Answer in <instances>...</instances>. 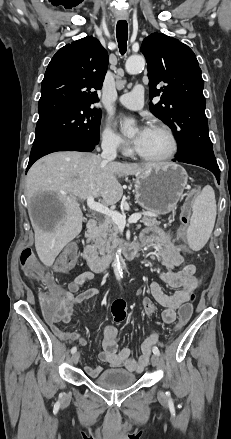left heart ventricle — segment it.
Returning <instances> with one entry per match:
<instances>
[{
	"label": "left heart ventricle",
	"mask_w": 231,
	"mask_h": 439,
	"mask_svg": "<svg viewBox=\"0 0 231 439\" xmlns=\"http://www.w3.org/2000/svg\"><path fill=\"white\" fill-rule=\"evenodd\" d=\"M169 147V139L163 131L149 128L136 150L147 156H160L165 154L169 150Z\"/></svg>",
	"instance_id": "1"
}]
</instances>
